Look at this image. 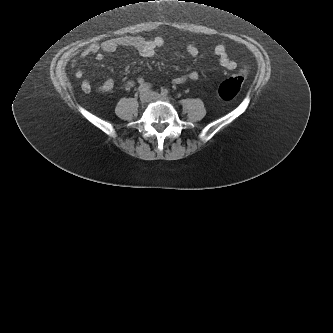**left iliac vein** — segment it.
I'll use <instances>...</instances> for the list:
<instances>
[{
  "mask_svg": "<svg viewBox=\"0 0 333 333\" xmlns=\"http://www.w3.org/2000/svg\"><path fill=\"white\" fill-rule=\"evenodd\" d=\"M150 94H151L152 99H155V100L169 101V99H170L168 96L161 95L156 92H150Z\"/></svg>",
  "mask_w": 333,
  "mask_h": 333,
  "instance_id": "obj_1",
  "label": "left iliac vein"
}]
</instances>
